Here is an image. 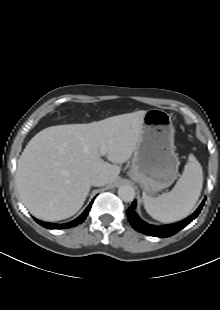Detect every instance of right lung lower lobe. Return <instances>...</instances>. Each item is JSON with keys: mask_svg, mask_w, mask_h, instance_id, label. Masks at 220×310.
I'll return each mask as SVG.
<instances>
[{"mask_svg": "<svg viewBox=\"0 0 220 310\" xmlns=\"http://www.w3.org/2000/svg\"><path fill=\"white\" fill-rule=\"evenodd\" d=\"M94 200H92V202L88 205V207L84 210V212L78 217L76 218L75 220L69 222V223H66V224H53V223H48V222H43V221H39L37 219H35V221L40 224L41 226L45 227V228H48V229H65V228H71V227H74V226H77L78 224L82 223L87 215H88V212L92 206V203H93Z\"/></svg>", "mask_w": 220, "mask_h": 310, "instance_id": "98d812e1", "label": "right lung lower lobe"}]
</instances>
